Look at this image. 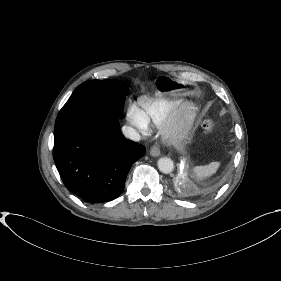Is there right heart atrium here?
I'll list each match as a JSON object with an SVG mask.
<instances>
[{
    "label": "right heart atrium",
    "instance_id": "obj_1",
    "mask_svg": "<svg viewBox=\"0 0 281 281\" xmlns=\"http://www.w3.org/2000/svg\"><path fill=\"white\" fill-rule=\"evenodd\" d=\"M127 119L139 131H141V132H145L146 131L147 127L143 124L142 120L140 119L137 107L130 106L128 108V110H127Z\"/></svg>",
    "mask_w": 281,
    "mask_h": 281
}]
</instances>
